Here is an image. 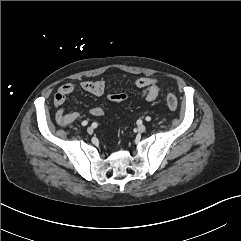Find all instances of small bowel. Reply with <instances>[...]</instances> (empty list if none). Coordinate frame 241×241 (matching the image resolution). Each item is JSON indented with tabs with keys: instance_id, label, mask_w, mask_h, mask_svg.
<instances>
[{
	"instance_id": "obj_1",
	"label": "small bowel",
	"mask_w": 241,
	"mask_h": 241,
	"mask_svg": "<svg viewBox=\"0 0 241 241\" xmlns=\"http://www.w3.org/2000/svg\"><path fill=\"white\" fill-rule=\"evenodd\" d=\"M134 85L141 90L142 96L148 101L153 102L161 93V87L157 79L152 77H140ZM79 87L92 95L101 96L105 93L107 82L104 79L99 80H83L79 83ZM75 90L73 83H66L59 87L54 96V106L58 109L55 115L59 125H68L80 118V114L75 111H65L61 107L65 103L67 97ZM90 113L94 117H100L104 114L103 108L95 106L91 108Z\"/></svg>"
}]
</instances>
